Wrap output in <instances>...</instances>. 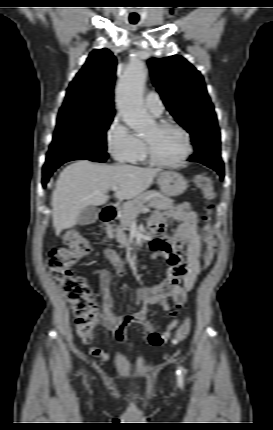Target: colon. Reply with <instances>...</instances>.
I'll return each mask as SVG.
<instances>
[{"label":"colon","instance_id":"colon-1","mask_svg":"<svg viewBox=\"0 0 273 430\" xmlns=\"http://www.w3.org/2000/svg\"><path fill=\"white\" fill-rule=\"evenodd\" d=\"M194 184L202 192L205 199L203 218L206 224L203 228V238L206 243V249L203 269H206L212 263L217 251V241L210 223L214 191L211 179L205 174L196 175ZM63 244V246L51 249L48 254L47 265L51 275L59 283L67 301L71 305L75 316L74 323L77 334L83 342L90 343L98 324L99 309L87 280L76 275L72 271V267L79 259L89 254L91 247L81 234L72 230L64 233ZM190 327L191 320L186 318L183 326L175 332L171 341L172 344L177 345L180 343L187 336ZM151 387L152 385H150Z\"/></svg>","mask_w":273,"mask_h":430}]
</instances>
